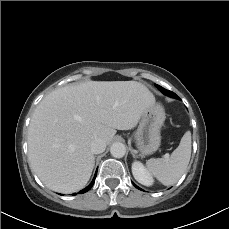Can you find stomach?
<instances>
[{"instance_id":"stomach-1","label":"stomach","mask_w":229,"mask_h":229,"mask_svg":"<svg viewBox=\"0 0 229 229\" xmlns=\"http://www.w3.org/2000/svg\"><path fill=\"white\" fill-rule=\"evenodd\" d=\"M165 111L160 104L148 106L134 134L135 145L142 156L156 152L161 144V127L165 121Z\"/></svg>"}]
</instances>
